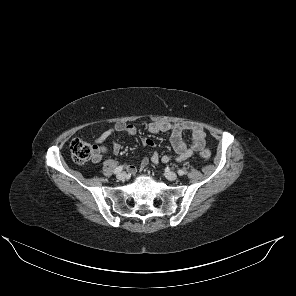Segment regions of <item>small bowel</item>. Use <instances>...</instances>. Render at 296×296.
Masks as SVG:
<instances>
[{
  "label": "small bowel",
  "instance_id": "1",
  "mask_svg": "<svg viewBox=\"0 0 296 296\" xmlns=\"http://www.w3.org/2000/svg\"><path fill=\"white\" fill-rule=\"evenodd\" d=\"M148 131L153 134L171 132V143L177 154L175 158L170 155H163L157 151H153L150 157V161L153 164L159 162L168 163L172 160L185 161L191 158L197 151L201 150L205 146V132L202 126L192 122H182L177 124H171L168 122L155 121L151 122L148 126ZM186 131L191 132V139L187 142L183 134ZM137 134V129L131 124L119 122L113 127L105 130L96 140L98 156L94 161L98 162L102 159L103 154L110 152L112 154H118L121 151V144L117 141V137L121 135L133 136ZM112 140V145L107 148L104 143L107 140ZM142 143L145 147L153 148L155 143L152 139L145 136H141ZM149 164L147 157L142 158L140 162V168L145 169ZM127 169L132 174L136 173L137 168L134 165H127Z\"/></svg>",
  "mask_w": 296,
  "mask_h": 296
}]
</instances>
